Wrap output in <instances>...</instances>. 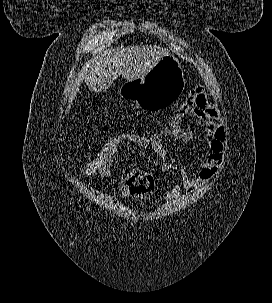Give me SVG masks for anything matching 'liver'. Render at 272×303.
Segmentation results:
<instances>
[{"instance_id": "liver-1", "label": "liver", "mask_w": 272, "mask_h": 303, "mask_svg": "<svg viewBox=\"0 0 272 303\" xmlns=\"http://www.w3.org/2000/svg\"><path fill=\"white\" fill-rule=\"evenodd\" d=\"M168 53L157 45L110 46L86 64L85 82L92 91H104L121 75L127 81L147 75Z\"/></svg>"}]
</instances>
